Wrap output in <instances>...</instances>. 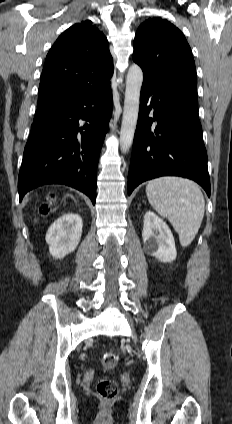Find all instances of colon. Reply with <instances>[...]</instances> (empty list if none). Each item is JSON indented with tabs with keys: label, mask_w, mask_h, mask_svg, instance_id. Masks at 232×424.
<instances>
[{
	"label": "colon",
	"mask_w": 232,
	"mask_h": 424,
	"mask_svg": "<svg viewBox=\"0 0 232 424\" xmlns=\"http://www.w3.org/2000/svg\"><path fill=\"white\" fill-rule=\"evenodd\" d=\"M54 199V195H49L48 202L42 203L38 208V214L40 216H47L51 212V202ZM102 367L105 370L113 369L117 364V356L114 353H106L102 357ZM96 392L100 398L104 400H113L118 395V385L114 380L101 379L96 385Z\"/></svg>",
	"instance_id": "5ec220e1"
}]
</instances>
